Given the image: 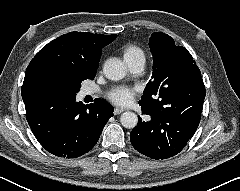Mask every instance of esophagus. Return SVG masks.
I'll return each mask as SVG.
<instances>
[{
    "label": "esophagus",
    "instance_id": "esophagus-1",
    "mask_svg": "<svg viewBox=\"0 0 240 191\" xmlns=\"http://www.w3.org/2000/svg\"><path fill=\"white\" fill-rule=\"evenodd\" d=\"M123 111H124L123 108H118V107H117V108L114 109V112H113V113H114V115H118V114H121Z\"/></svg>",
    "mask_w": 240,
    "mask_h": 191
}]
</instances>
